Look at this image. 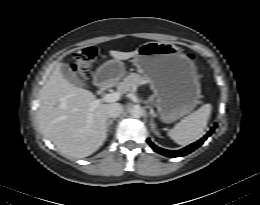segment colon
Segmentation results:
<instances>
[{"label":"colon","mask_w":260,"mask_h":205,"mask_svg":"<svg viewBox=\"0 0 260 205\" xmlns=\"http://www.w3.org/2000/svg\"><path fill=\"white\" fill-rule=\"evenodd\" d=\"M97 56V49L94 46H89L77 51L74 54L73 71L81 78L87 76L92 62Z\"/></svg>","instance_id":"5ec220e1"}]
</instances>
